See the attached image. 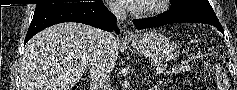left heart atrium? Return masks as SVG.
<instances>
[{
    "instance_id": "39dd6f15",
    "label": "left heart atrium",
    "mask_w": 237,
    "mask_h": 90,
    "mask_svg": "<svg viewBox=\"0 0 237 90\" xmlns=\"http://www.w3.org/2000/svg\"><path fill=\"white\" fill-rule=\"evenodd\" d=\"M115 7H122V10H137L142 3H152V0H113Z\"/></svg>"
}]
</instances>
